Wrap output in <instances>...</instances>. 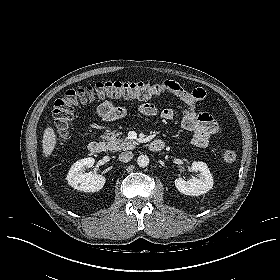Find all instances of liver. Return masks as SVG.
<instances>
[{
    "label": "liver",
    "mask_w": 280,
    "mask_h": 280,
    "mask_svg": "<svg viewBox=\"0 0 280 280\" xmlns=\"http://www.w3.org/2000/svg\"><path fill=\"white\" fill-rule=\"evenodd\" d=\"M56 134L52 127H47L43 134L42 149L45 157L52 154L56 146Z\"/></svg>",
    "instance_id": "liver-1"
}]
</instances>
